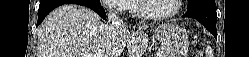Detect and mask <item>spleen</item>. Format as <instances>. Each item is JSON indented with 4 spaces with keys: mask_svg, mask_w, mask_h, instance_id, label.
<instances>
[{
    "mask_svg": "<svg viewBox=\"0 0 249 57\" xmlns=\"http://www.w3.org/2000/svg\"><path fill=\"white\" fill-rule=\"evenodd\" d=\"M206 54H207V57H212L209 51H207Z\"/></svg>",
    "mask_w": 249,
    "mask_h": 57,
    "instance_id": "obj_1",
    "label": "spleen"
}]
</instances>
